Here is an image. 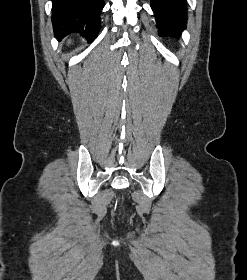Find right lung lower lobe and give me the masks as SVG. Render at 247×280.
<instances>
[{
    "instance_id": "obj_1",
    "label": "right lung lower lobe",
    "mask_w": 247,
    "mask_h": 280,
    "mask_svg": "<svg viewBox=\"0 0 247 280\" xmlns=\"http://www.w3.org/2000/svg\"><path fill=\"white\" fill-rule=\"evenodd\" d=\"M52 23L56 36L76 32L93 41L100 29L104 0H52Z\"/></svg>"
}]
</instances>
